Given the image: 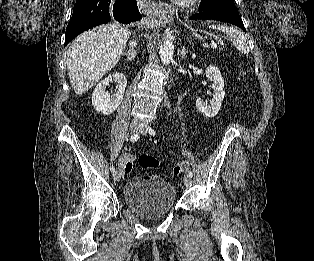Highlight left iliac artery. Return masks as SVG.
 <instances>
[{
	"label": "left iliac artery",
	"instance_id": "left-iliac-artery-1",
	"mask_svg": "<svg viewBox=\"0 0 314 261\" xmlns=\"http://www.w3.org/2000/svg\"><path fill=\"white\" fill-rule=\"evenodd\" d=\"M149 133H150L151 135H153V136L156 135V132H155V130H154L152 127H149ZM188 174H189L190 177H193V172H192L191 170L188 171Z\"/></svg>",
	"mask_w": 314,
	"mask_h": 261
}]
</instances>
